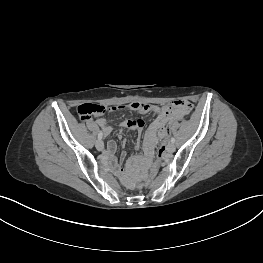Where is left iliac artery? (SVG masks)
Masks as SVG:
<instances>
[{
  "instance_id": "left-iliac-artery-1",
  "label": "left iliac artery",
  "mask_w": 263,
  "mask_h": 263,
  "mask_svg": "<svg viewBox=\"0 0 263 263\" xmlns=\"http://www.w3.org/2000/svg\"><path fill=\"white\" fill-rule=\"evenodd\" d=\"M171 142L175 143V138L174 137L171 138Z\"/></svg>"
}]
</instances>
